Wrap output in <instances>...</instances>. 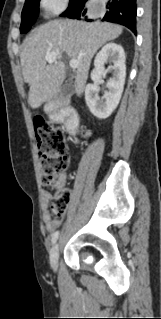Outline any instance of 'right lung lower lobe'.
Listing matches in <instances>:
<instances>
[{
    "instance_id": "1",
    "label": "right lung lower lobe",
    "mask_w": 161,
    "mask_h": 319,
    "mask_svg": "<svg viewBox=\"0 0 161 319\" xmlns=\"http://www.w3.org/2000/svg\"><path fill=\"white\" fill-rule=\"evenodd\" d=\"M87 1H77L62 15L73 19H87V9L84 8ZM106 8L108 10L100 20L122 24L136 34V0H108Z\"/></svg>"
}]
</instances>
